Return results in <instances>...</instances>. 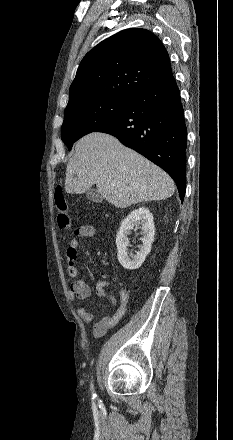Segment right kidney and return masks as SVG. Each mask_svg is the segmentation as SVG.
Listing matches in <instances>:
<instances>
[{
  "instance_id": "ca27d5eb",
  "label": "right kidney",
  "mask_w": 233,
  "mask_h": 440,
  "mask_svg": "<svg viewBox=\"0 0 233 440\" xmlns=\"http://www.w3.org/2000/svg\"><path fill=\"white\" fill-rule=\"evenodd\" d=\"M135 227L142 229V244L139 246V251L135 255H128V235ZM155 227L153 222V215L149 209L140 207L132 211L121 223L119 231L116 236V246L118 251V260L123 268L128 270L138 269L145 258L151 251L152 242L154 240Z\"/></svg>"
}]
</instances>
